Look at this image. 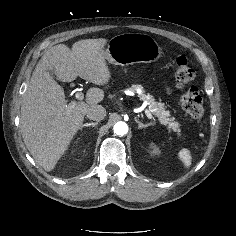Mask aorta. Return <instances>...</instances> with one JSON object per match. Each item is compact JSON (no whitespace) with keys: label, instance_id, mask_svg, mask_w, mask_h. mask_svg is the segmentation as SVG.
<instances>
[{"label":"aorta","instance_id":"obj_1","mask_svg":"<svg viewBox=\"0 0 236 236\" xmlns=\"http://www.w3.org/2000/svg\"><path fill=\"white\" fill-rule=\"evenodd\" d=\"M114 133H116L117 135L123 136L125 134H127L128 132V125L125 122H117L114 125Z\"/></svg>","mask_w":236,"mask_h":236}]
</instances>
